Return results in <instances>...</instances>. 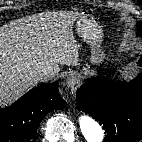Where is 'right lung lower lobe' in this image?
Wrapping results in <instances>:
<instances>
[{"mask_svg": "<svg viewBox=\"0 0 142 142\" xmlns=\"http://www.w3.org/2000/svg\"><path fill=\"white\" fill-rule=\"evenodd\" d=\"M66 105L57 81L29 91L11 106L0 109V142H36L37 128L46 114Z\"/></svg>", "mask_w": 142, "mask_h": 142, "instance_id": "98d812e1", "label": "right lung lower lobe"}]
</instances>
